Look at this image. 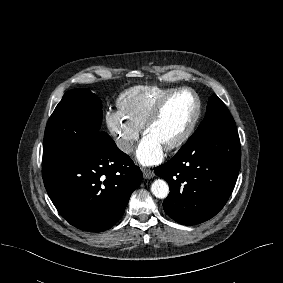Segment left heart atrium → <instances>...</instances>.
<instances>
[{
    "label": "left heart atrium",
    "instance_id": "1",
    "mask_svg": "<svg viewBox=\"0 0 283 283\" xmlns=\"http://www.w3.org/2000/svg\"><path fill=\"white\" fill-rule=\"evenodd\" d=\"M137 159L143 165H154L163 158V147L152 138L145 136L137 150Z\"/></svg>",
    "mask_w": 283,
    "mask_h": 283
}]
</instances>
